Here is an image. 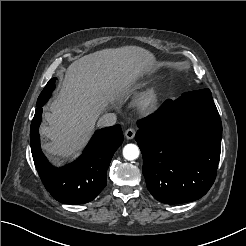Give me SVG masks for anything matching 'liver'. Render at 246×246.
I'll use <instances>...</instances> for the list:
<instances>
[{
  "label": "liver",
  "instance_id": "1",
  "mask_svg": "<svg viewBox=\"0 0 246 246\" xmlns=\"http://www.w3.org/2000/svg\"><path fill=\"white\" fill-rule=\"evenodd\" d=\"M155 63L153 53L130 45L96 51L70 64L50 112L44 114L48 125L40 133L49 141L43 150L62 161L78 157L100 113L126 96Z\"/></svg>",
  "mask_w": 246,
  "mask_h": 246
}]
</instances>
